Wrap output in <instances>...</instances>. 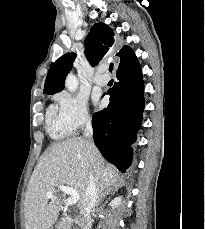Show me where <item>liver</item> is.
<instances>
[{
    "instance_id": "liver-1",
    "label": "liver",
    "mask_w": 205,
    "mask_h": 229,
    "mask_svg": "<svg viewBox=\"0 0 205 229\" xmlns=\"http://www.w3.org/2000/svg\"><path fill=\"white\" fill-rule=\"evenodd\" d=\"M92 172L97 188L104 189L118 182L117 169L107 163L94 143L73 137L50 146L41 156L27 186L24 213L26 229H50L62 206L55 187L66 185L79 194V206ZM54 191L49 200L46 194Z\"/></svg>"
}]
</instances>
